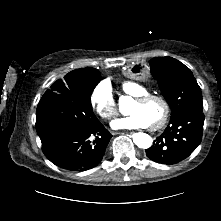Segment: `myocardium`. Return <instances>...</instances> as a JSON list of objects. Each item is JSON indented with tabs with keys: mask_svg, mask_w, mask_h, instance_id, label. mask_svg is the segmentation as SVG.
<instances>
[{
	"mask_svg": "<svg viewBox=\"0 0 221 221\" xmlns=\"http://www.w3.org/2000/svg\"><path fill=\"white\" fill-rule=\"evenodd\" d=\"M151 100H158L164 107V112L160 120L156 124L149 126L151 130H158L164 127V125L167 123L169 116H170L171 108H170V104L168 103V101L163 96L157 95V94H146V95L137 97L134 99V102L139 103V104H145Z\"/></svg>",
	"mask_w": 221,
	"mask_h": 221,
	"instance_id": "myocardium-1",
	"label": "myocardium"
}]
</instances>
